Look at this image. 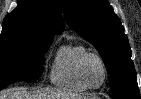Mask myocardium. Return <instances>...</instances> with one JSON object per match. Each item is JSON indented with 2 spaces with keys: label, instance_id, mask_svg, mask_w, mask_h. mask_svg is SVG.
<instances>
[{
  "label": "myocardium",
  "instance_id": "myocardium-1",
  "mask_svg": "<svg viewBox=\"0 0 141 99\" xmlns=\"http://www.w3.org/2000/svg\"><path fill=\"white\" fill-rule=\"evenodd\" d=\"M91 58H94V59L98 60L99 63L101 64V66H102V69H103V80H102V82L99 85H92V84H90L88 82L86 76H85V64ZM78 74H79L80 80L82 81V83L86 87H88L89 89H99V88H101L105 84V82L108 79V68H107V65H106V62H105L104 58L100 54L95 53V52H86L81 57V59L79 61Z\"/></svg>",
  "mask_w": 141,
  "mask_h": 99
}]
</instances>
